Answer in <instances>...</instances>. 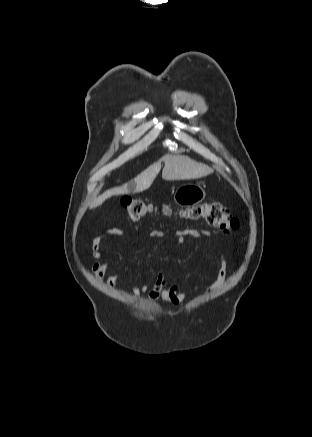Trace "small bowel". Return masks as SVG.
Listing matches in <instances>:
<instances>
[{
	"label": "small bowel",
	"mask_w": 312,
	"mask_h": 437,
	"mask_svg": "<svg viewBox=\"0 0 312 437\" xmlns=\"http://www.w3.org/2000/svg\"><path fill=\"white\" fill-rule=\"evenodd\" d=\"M125 233L120 229H109L100 234H98L92 242V253L95 261L92 265V272L96 276L99 282L105 280V274L109 267V264L103 260L104 253L102 251L101 242L107 236H123ZM163 232L159 230H153L150 232L151 237L160 238L163 237ZM175 235L180 243H184L187 237H193L201 242H204V237L208 236V233L203 230L198 229H186L177 230ZM227 275V261L224 253H221V268L218 273L216 282L208 287L207 291L213 290L221 286ZM118 279V274H112L106 279V284L109 288H114L116 281ZM135 295H140L145 293L151 302L158 299H162L172 305H178L182 303L186 298V291L180 289L177 283H171L165 276L158 274L155 282L152 285H143L140 287H135L133 289Z\"/></svg>",
	"instance_id": "obj_1"
}]
</instances>
